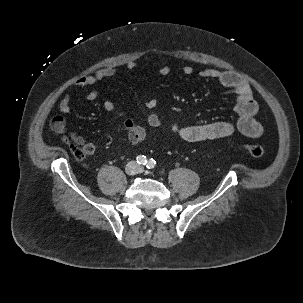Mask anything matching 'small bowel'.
<instances>
[{"label": "small bowel", "mask_w": 303, "mask_h": 303, "mask_svg": "<svg viewBox=\"0 0 303 303\" xmlns=\"http://www.w3.org/2000/svg\"><path fill=\"white\" fill-rule=\"evenodd\" d=\"M125 66L128 71H134L137 68V63L131 60L127 62ZM170 71V67L164 65L159 68L158 74L161 76H167L170 74ZM115 73L116 68L114 66H106L91 75L79 77L74 82V86L79 88L95 86L102 80L113 77ZM182 73L184 75H191L193 73V68L191 66H185L182 69ZM200 77L216 80L220 85L231 89L235 93V110L238 118L235 122L217 121L185 126L173 123L171 125V131L175 135L188 142H199L228 137L234 133H240L250 138L259 137L262 134L263 127L255 119L258 112V105L253 98V92L250 85L245 80L234 72L221 71L217 69L203 70L200 72ZM97 97L98 91L96 89H91L87 94V99L89 101H94ZM156 104L157 101L154 97H148L145 101V105L149 109L155 108ZM58 109L61 115H57L52 119L51 127L54 131L63 133L66 131V121L63 115H66L71 111L70 92L66 93L61 99ZM104 109L114 117L121 120V124L132 144H139L145 139V128L117 109L111 100H105ZM144 123L148 127L158 128L161 126L162 120L157 114L151 113L145 117ZM68 136L75 144L81 146L87 155H93L95 153V145L86 141L77 132L70 131Z\"/></svg>", "instance_id": "1"}]
</instances>
